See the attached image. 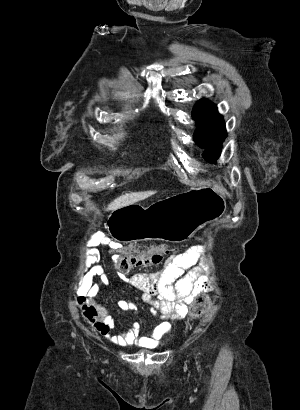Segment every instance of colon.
Returning a JSON list of instances; mask_svg holds the SVG:
<instances>
[{"label": "colon", "mask_w": 300, "mask_h": 410, "mask_svg": "<svg viewBox=\"0 0 300 410\" xmlns=\"http://www.w3.org/2000/svg\"><path fill=\"white\" fill-rule=\"evenodd\" d=\"M167 249H153V248H138L131 250L125 254H115L112 262L114 268L122 273L128 274L135 268H150L159 266L164 260V256L168 254ZM211 301L205 293H198L189 309V316L191 318H199L204 315L210 308Z\"/></svg>", "instance_id": "5ec220e1"}]
</instances>
